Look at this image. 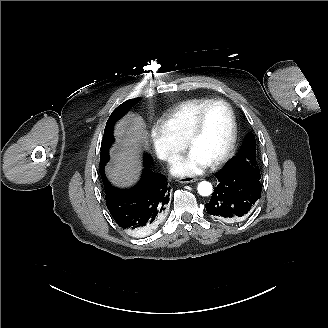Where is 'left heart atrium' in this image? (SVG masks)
Instances as JSON below:
<instances>
[{"instance_id":"39dd6f15","label":"left heart atrium","mask_w":328,"mask_h":328,"mask_svg":"<svg viewBox=\"0 0 328 328\" xmlns=\"http://www.w3.org/2000/svg\"><path fill=\"white\" fill-rule=\"evenodd\" d=\"M209 165L207 158L198 151L190 149L170 165V170L177 176L196 175L202 173Z\"/></svg>"}]
</instances>
